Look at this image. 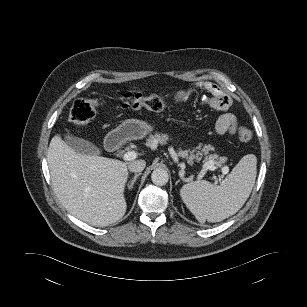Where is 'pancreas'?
<instances>
[{
    "mask_svg": "<svg viewBox=\"0 0 307 307\" xmlns=\"http://www.w3.org/2000/svg\"><path fill=\"white\" fill-rule=\"evenodd\" d=\"M169 137L166 134L155 133L154 135H150L149 139H147L146 145L151 148H156V146L160 144H166ZM201 144L197 147V149H201V151L193 150H180L177 155L179 157L185 158L189 164H192L194 160L200 161L203 156V161L205 163L213 162L217 167H221L227 161L226 157H219L217 154H209L210 150H213V147L210 145H204L201 148Z\"/></svg>",
    "mask_w": 307,
    "mask_h": 307,
    "instance_id": "pancreas-1",
    "label": "pancreas"
}]
</instances>
